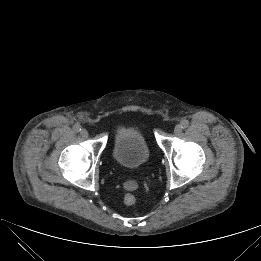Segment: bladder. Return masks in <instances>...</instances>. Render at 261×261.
<instances>
[{
    "label": "bladder",
    "instance_id": "1",
    "mask_svg": "<svg viewBox=\"0 0 261 261\" xmlns=\"http://www.w3.org/2000/svg\"><path fill=\"white\" fill-rule=\"evenodd\" d=\"M149 149L142 129L136 124L120 126L114 133L113 158L122 168L141 169L148 160Z\"/></svg>",
    "mask_w": 261,
    "mask_h": 261
}]
</instances>
